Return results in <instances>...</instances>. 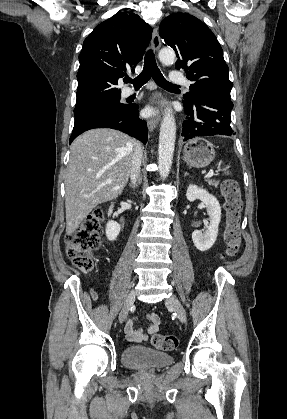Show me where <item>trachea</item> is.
Masks as SVG:
<instances>
[{
    "label": "trachea",
    "instance_id": "obj_1",
    "mask_svg": "<svg viewBox=\"0 0 287 419\" xmlns=\"http://www.w3.org/2000/svg\"><path fill=\"white\" fill-rule=\"evenodd\" d=\"M153 78L157 85L161 87H176L177 85L168 82L162 75L161 71L157 67L155 56L152 50H148L144 58V67L143 71L137 76L134 80L130 78H125L124 82H132L135 88H140L145 83L149 81L150 78Z\"/></svg>",
    "mask_w": 287,
    "mask_h": 419
}]
</instances>
